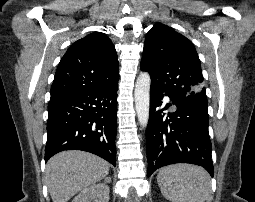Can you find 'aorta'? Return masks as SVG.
<instances>
[{
    "mask_svg": "<svg viewBox=\"0 0 255 202\" xmlns=\"http://www.w3.org/2000/svg\"><path fill=\"white\" fill-rule=\"evenodd\" d=\"M150 85L149 73L142 72L137 78L134 91L136 113L142 128L147 127L149 120Z\"/></svg>",
    "mask_w": 255,
    "mask_h": 202,
    "instance_id": "762f6f07",
    "label": "aorta"
}]
</instances>
